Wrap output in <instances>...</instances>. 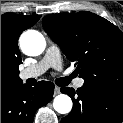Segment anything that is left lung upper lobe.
<instances>
[{
  "label": "left lung upper lobe",
  "instance_id": "5c2ea615",
  "mask_svg": "<svg viewBox=\"0 0 123 123\" xmlns=\"http://www.w3.org/2000/svg\"><path fill=\"white\" fill-rule=\"evenodd\" d=\"M43 27L84 84L123 91V33L91 12L51 14Z\"/></svg>",
  "mask_w": 123,
  "mask_h": 123
}]
</instances>
